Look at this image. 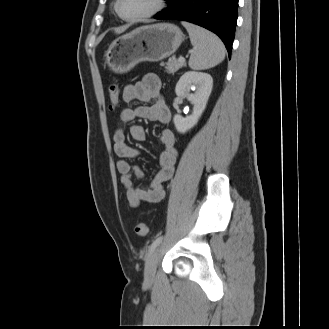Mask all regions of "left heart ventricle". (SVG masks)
<instances>
[{
  "instance_id": "1",
  "label": "left heart ventricle",
  "mask_w": 329,
  "mask_h": 329,
  "mask_svg": "<svg viewBox=\"0 0 329 329\" xmlns=\"http://www.w3.org/2000/svg\"><path fill=\"white\" fill-rule=\"evenodd\" d=\"M155 0H120L119 11L125 17L141 15L151 10Z\"/></svg>"
}]
</instances>
